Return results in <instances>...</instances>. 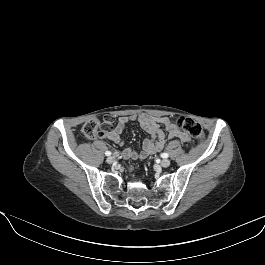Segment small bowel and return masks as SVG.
<instances>
[{"instance_id": "small-bowel-1", "label": "small bowel", "mask_w": 265, "mask_h": 265, "mask_svg": "<svg viewBox=\"0 0 265 265\" xmlns=\"http://www.w3.org/2000/svg\"><path fill=\"white\" fill-rule=\"evenodd\" d=\"M130 122H137L150 137L143 141L141 150L133 148L124 149L122 156L125 159H145L149 155L162 150L167 138H177L184 143H189L191 141L190 136L185 131L178 128L170 118L146 113L120 116L117 119L115 127L106 134V137L116 145L123 146L124 141L122 139V133L126 125Z\"/></svg>"}]
</instances>
